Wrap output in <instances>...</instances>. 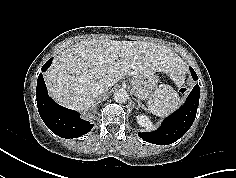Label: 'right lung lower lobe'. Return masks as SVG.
<instances>
[{
	"label": "right lung lower lobe",
	"mask_w": 236,
	"mask_h": 178,
	"mask_svg": "<svg viewBox=\"0 0 236 178\" xmlns=\"http://www.w3.org/2000/svg\"><path fill=\"white\" fill-rule=\"evenodd\" d=\"M52 59H49L43 65V71L48 69ZM36 96L37 107L42 120L58 136L62 138H76L88 133L93 128V124L80 119V115L76 111L59 106L48 96L41 73L37 80Z\"/></svg>",
	"instance_id": "1"
}]
</instances>
